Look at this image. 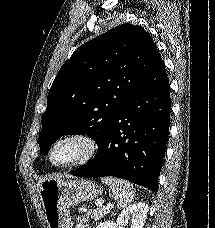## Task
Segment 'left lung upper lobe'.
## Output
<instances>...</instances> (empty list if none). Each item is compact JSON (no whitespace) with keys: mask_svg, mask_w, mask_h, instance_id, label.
<instances>
[{"mask_svg":"<svg viewBox=\"0 0 215 228\" xmlns=\"http://www.w3.org/2000/svg\"><path fill=\"white\" fill-rule=\"evenodd\" d=\"M158 54L151 36L128 23L81 45L63 64L48 93L40 152L45 155L65 134H87L99 144Z\"/></svg>","mask_w":215,"mask_h":228,"instance_id":"left-lung-upper-lobe-1","label":"left lung upper lobe"}]
</instances>
